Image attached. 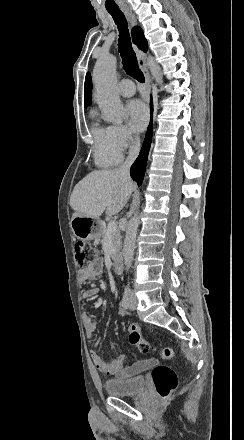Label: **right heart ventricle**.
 I'll return each instance as SVG.
<instances>
[{"label": "right heart ventricle", "mask_w": 244, "mask_h": 440, "mask_svg": "<svg viewBox=\"0 0 244 440\" xmlns=\"http://www.w3.org/2000/svg\"><path fill=\"white\" fill-rule=\"evenodd\" d=\"M91 122V135L94 136L96 141L94 158L98 166L103 168H109L119 164L122 160L121 152H109L103 148H99V145L105 143L108 137L107 128L104 127L98 118L97 111L92 109L89 114Z\"/></svg>", "instance_id": "e07e8e85"}]
</instances>
